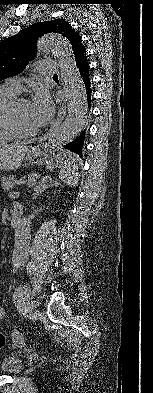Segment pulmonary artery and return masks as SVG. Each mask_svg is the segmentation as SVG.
Here are the masks:
<instances>
[{"mask_svg": "<svg viewBox=\"0 0 153 393\" xmlns=\"http://www.w3.org/2000/svg\"><path fill=\"white\" fill-rule=\"evenodd\" d=\"M53 68V63L50 62V60H43L41 61L38 66L37 69L40 70L41 72L47 73L50 72ZM22 80L20 79H11L8 80L5 84L4 87L6 89H9L15 93H18L21 91L22 89Z\"/></svg>", "mask_w": 153, "mask_h": 393, "instance_id": "pulmonary-artery-1", "label": "pulmonary artery"}]
</instances>
